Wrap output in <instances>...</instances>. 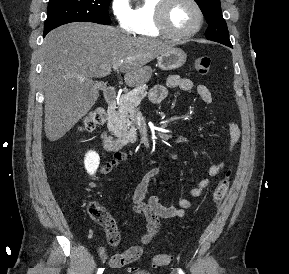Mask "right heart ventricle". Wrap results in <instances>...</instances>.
<instances>
[{"mask_svg": "<svg viewBox=\"0 0 289 274\" xmlns=\"http://www.w3.org/2000/svg\"><path fill=\"white\" fill-rule=\"evenodd\" d=\"M160 0H141L134 9L132 33L143 37H159L163 33L157 28L155 11Z\"/></svg>", "mask_w": 289, "mask_h": 274, "instance_id": "obj_1", "label": "right heart ventricle"}]
</instances>
